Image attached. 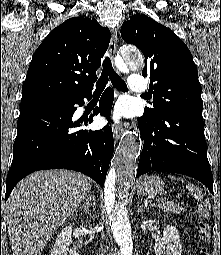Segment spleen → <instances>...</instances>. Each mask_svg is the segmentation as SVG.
Masks as SVG:
<instances>
[{
    "label": "spleen",
    "instance_id": "1",
    "mask_svg": "<svg viewBox=\"0 0 221 255\" xmlns=\"http://www.w3.org/2000/svg\"><path fill=\"white\" fill-rule=\"evenodd\" d=\"M171 179H175L174 176H169ZM182 182H183V179H181ZM187 189L191 192V194L198 200L202 199V194H201V191L195 187L194 185L192 184H187L186 185Z\"/></svg>",
    "mask_w": 221,
    "mask_h": 255
}]
</instances>
